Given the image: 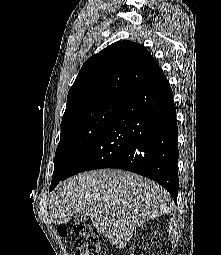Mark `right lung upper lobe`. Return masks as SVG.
Listing matches in <instances>:
<instances>
[{"instance_id":"cb5924a9","label":"right lung upper lobe","mask_w":221,"mask_h":255,"mask_svg":"<svg viewBox=\"0 0 221 255\" xmlns=\"http://www.w3.org/2000/svg\"><path fill=\"white\" fill-rule=\"evenodd\" d=\"M162 75L144 46L131 41L113 43L83 64L68 92L63 119L98 105H120Z\"/></svg>"}]
</instances>
